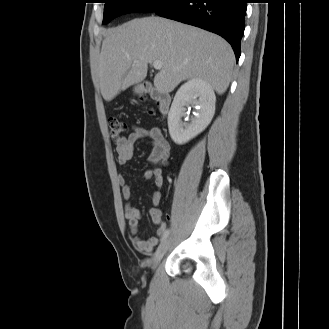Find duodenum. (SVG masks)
Listing matches in <instances>:
<instances>
[{
  "label": "duodenum",
  "instance_id": "duodenum-1",
  "mask_svg": "<svg viewBox=\"0 0 329 329\" xmlns=\"http://www.w3.org/2000/svg\"><path fill=\"white\" fill-rule=\"evenodd\" d=\"M144 88L150 93L151 97L158 102L159 112L163 115L167 114L171 104L170 95L164 91L155 89L149 84H146Z\"/></svg>",
  "mask_w": 329,
  "mask_h": 329
}]
</instances>
